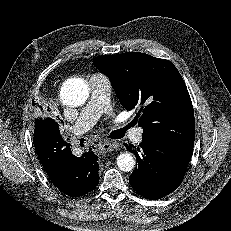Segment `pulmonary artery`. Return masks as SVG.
<instances>
[{
  "mask_svg": "<svg viewBox=\"0 0 231 231\" xmlns=\"http://www.w3.org/2000/svg\"><path fill=\"white\" fill-rule=\"evenodd\" d=\"M89 82L91 98L73 125L72 131L75 134H81L91 129L100 115L110 110L111 84L109 79L103 75L96 74L90 77ZM128 134L135 143H140L143 140V130L141 128L131 129Z\"/></svg>",
  "mask_w": 231,
  "mask_h": 231,
  "instance_id": "obj_1",
  "label": "pulmonary artery"
}]
</instances>
